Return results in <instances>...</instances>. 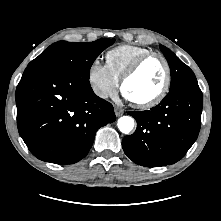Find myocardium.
I'll list each match as a JSON object with an SVG mask.
<instances>
[{
	"instance_id": "1",
	"label": "myocardium",
	"mask_w": 221,
	"mask_h": 221,
	"mask_svg": "<svg viewBox=\"0 0 221 221\" xmlns=\"http://www.w3.org/2000/svg\"><path fill=\"white\" fill-rule=\"evenodd\" d=\"M151 58H158L162 61L164 67H165V80L163 83L162 88L160 91L152 98L146 100V101H141V102H136V101H131L133 105L139 109H148L152 108L159 103H161L164 98L167 96L170 86H171V81H172V71H171V65L168 61V59L161 53L159 52H148L142 56H140L123 74V76L120 79V85H121V90L124 93V85L125 83L131 79L139 70L140 68L144 65L146 61H148Z\"/></svg>"
}]
</instances>
